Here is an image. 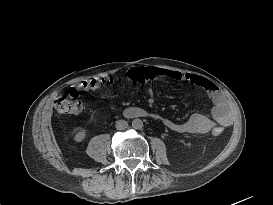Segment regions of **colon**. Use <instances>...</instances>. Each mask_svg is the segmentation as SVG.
<instances>
[{"mask_svg": "<svg viewBox=\"0 0 273 205\" xmlns=\"http://www.w3.org/2000/svg\"><path fill=\"white\" fill-rule=\"evenodd\" d=\"M128 79L133 82L142 83L149 79V70L147 68H133L128 72ZM118 78H102L93 80L87 84V88L96 89L106 85H114L119 82ZM55 108L62 114H77L82 110V104L78 100V91L74 90L70 94L61 96L55 101ZM212 133L215 136L222 134V129L217 127L214 128Z\"/></svg>", "mask_w": 273, "mask_h": 205, "instance_id": "1", "label": "colon"}]
</instances>
